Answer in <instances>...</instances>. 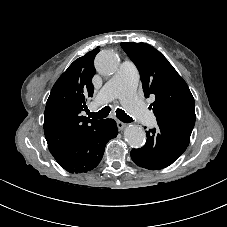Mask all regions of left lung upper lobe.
I'll return each instance as SVG.
<instances>
[{
	"mask_svg": "<svg viewBox=\"0 0 227 227\" xmlns=\"http://www.w3.org/2000/svg\"><path fill=\"white\" fill-rule=\"evenodd\" d=\"M121 46L139 70L145 96L156 97L149 108L157 122L191 135L196 118L195 103L186 82L151 45L123 42Z\"/></svg>",
	"mask_w": 227,
	"mask_h": 227,
	"instance_id": "5c2ea615",
	"label": "left lung upper lobe"
}]
</instances>
